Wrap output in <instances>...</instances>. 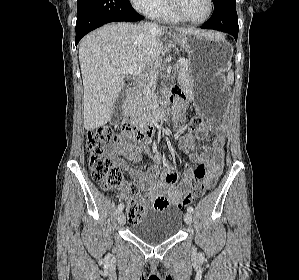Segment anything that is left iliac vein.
I'll return each instance as SVG.
<instances>
[{"mask_svg": "<svg viewBox=\"0 0 299 280\" xmlns=\"http://www.w3.org/2000/svg\"><path fill=\"white\" fill-rule=\"evenodd\" d=\"M184 221L186 222V224L190 225L192 222V214L191 212H186L184 215Z\"/></svg>", "mask_w": 299, "mask_h": 280, "instance_id": "4c4485c4", "label": "left iliac vein"}]
</instances>
